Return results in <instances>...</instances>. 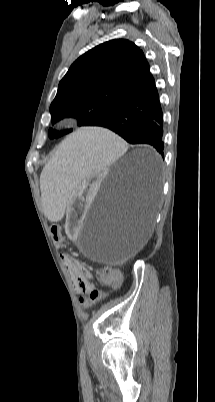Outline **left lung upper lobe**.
<instances>
[{"instance_id":"5c2ea615","label":"left lung upper lobe","mask_w":215,"mask_h":402,"mask_svg":"<svg viewBox=\"0 0 215 402\" xmlns=\"http://www.w3.org/2000/svg\"><path fill=\"white\" fill-rule=\"evenodd\" d=\"M149 64L132 42L115 39L79 57L60 81L51 103L52 124L77 118L79 126H96L130 98L149 77ZM72 130L50 129V138Z\"/></svg>"}]
</instances>
